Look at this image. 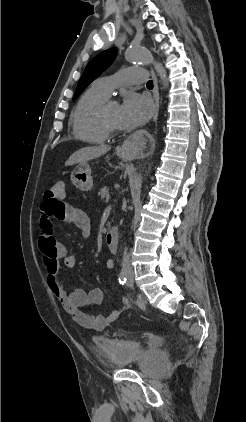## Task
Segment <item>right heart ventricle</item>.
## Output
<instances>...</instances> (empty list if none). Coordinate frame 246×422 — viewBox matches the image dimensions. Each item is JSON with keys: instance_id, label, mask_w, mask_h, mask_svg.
Instances as JSON below:
<instances>
[{"instance_id": "obj_1", "label": "right heart ventricle", "mask_w": 246, "mask_h": 422, "mask_svg": "<svg viewBox=\"0 0 246 422\" xmlns=\"http://www.w3.org/2000/svg\"><path fill=\"white\" fill-rule=\"evenodd\" d=\"M107 99L108 96L95 86L80 97L71 114L76 138L93 144L103 143L108 139L109 133L102 128L98 118L99 108Z\"/></svg>"}]
</instances>
